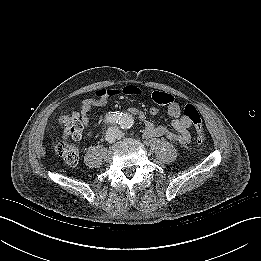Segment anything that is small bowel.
Masks as SVG:
<instances>
[{
	"label": "small bowel",
	"instance_id": "1",
	"mask_svg": "<svg viewBox=\"0 0 261 261\" xmlns=\"http://www.w3.org/2000/svg\"><path fill=\"white\" fill-rule=\"evenodd\" d=\"M106 102L107 97H98L87 98L80 103V118L86 127L89 125V113L91 109L93 107H101L105 105ZM133 112L136 113L139 120L144 123L145 135L147 137H165L181 145L189 143L191 138L190 127L192 123L189 118L181 114V108L174 100L167 104V112L172 119L171 127L173 128V131L165 125H155L150 120H147L145 113L140 110H133ZM149 112L151 115H156L158 108L151 107ZM87 134L90 135V132L88 131Z\"/></svg>",
	"mask_w": 261,
	"mask_h": 261
}]
</instances>
